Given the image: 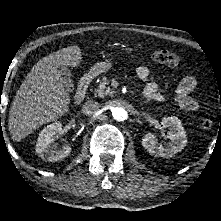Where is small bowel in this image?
I'll return each mask as SVG.
<instances>
[{
  "label": "small bowel",
  "mask_w": 221,
  "mask_h": 221,
  "mask_svg": "<svg viewBox=\"0 0 221 221\" xmlns=\"http://www.w3.org/2000/svg\"><path fill=\"white\" fill-rule=\"evenodd\" d=\"M136 74L141 80H147L150 76V70L146 66H139ZM197 86V80L194 76H186L176 89L175 100L178 105L187 111H197L201 108V103L191 96V93ZM142 96L147 101L162 102L164 96L156 83H149L145 87Z\"/></svg>",
  "instance_id": "obj_1"
}]
</instances>
